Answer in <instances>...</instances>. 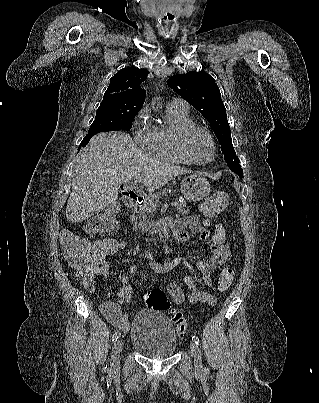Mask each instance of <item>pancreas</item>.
Listing matches in <instances>:
<instances>
[{
	"label": "pancreas",
	"instance_id": "obj_1",
	"mask_svg": "<svg viewBox=\"0 0 319 403\" xmlns=\"http://www.w3.org/2000/svg\"><path fill=\"white\" fill-rule=\"evenodd\" d=\"M150 201L155 203L154 199H147L139 208L136 210L137 215L132 217V222L134 223L135 229H142V231H148L151 226L152 222L150 221V213H152L155 208L150 205ZM177 211L182 214L190 213L189 209H186V203H178Z\"/></svg>",
	"mask_w": 319,
	"mask_h": 403
}]
</instances>
